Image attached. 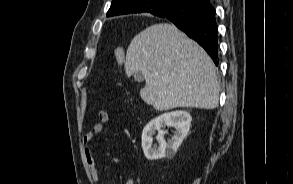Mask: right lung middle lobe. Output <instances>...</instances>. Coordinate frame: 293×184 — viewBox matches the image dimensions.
Returning a JSON list of instances; mask_svg holds the SVG:
<instances>
[{"instance_id":"dd1d6c3e","label":"right lung middle lobe","mask_w":293,"mask_h":184,"mask_svg":"<svg viewBox=\"0 0 293 184\" xmlns=\"http://www.w3.org/2000/svg\"><path fill=\"white\" fill-rule=\"evenodd\" d=\"M169 1L167 0H158L154 2V7L157 10L164 9L168 5Z\"/></svg>"}]
</instances>
